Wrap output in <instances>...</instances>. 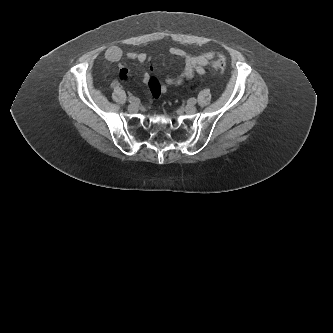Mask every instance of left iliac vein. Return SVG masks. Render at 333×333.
Returning a JSON list of instances; mask_svg holds the SVG:
<instances>
[{
    "instance_id": "left-iliac-vein-1",
    "label": "left iliac vein",
    "mask_w": 333,
    "mask_h": 333,
    "mask_svg": "<svg viewBox=\"0 0 333 333\" xmlns=\"http://www.w3.org/2000/svg\"><path fill=\"white\" fill-rule=\"evenodd\" d=\"M185 112L186 113H188V114H193V113H195L196 111H197V108H196V106L195 105H193V104H187L186 106H185Z\"/></svg>"
}]
</instances>
